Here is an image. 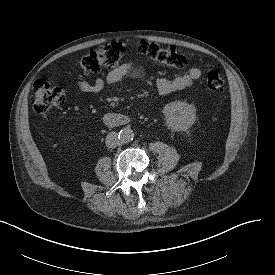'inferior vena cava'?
Returning <instances> with one entry per match:
<instances>
[{"instance_id": "602c4592", "label": "inferior vena cava", "mask_w": 275, "mask_h": 275, "mask_svg": "<svg viewBox=\"0 0 275 275\" xmlns=\"http://www.w3.org/2000/svg\"><path fill=\"white\" fill-rule=\"evenodd\" d=\"M105 143L108 148H116L120 144V139L118 138V133L114 132V131L110 132L106 136Z\"/></svg>"}]
</instances>
